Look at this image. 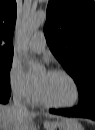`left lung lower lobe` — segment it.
Masks as SVG:
<instances>
[{"label": "left lung lower lobe", "mask_w": 95, "mask_h": 130, "mask_svg": "<svg viewBox=\"0 0 95 130\" xmlns=\"http://www.w3.org/2000/svg\"><path fill=\"white\" fill-rule=\"evenodd\" d=\"M50 112L67 117H82L95 120V85L79 96V104L76 108L65 110L52 109Z\"/></svg>", "instance_id": "0a47b994"}]
</instances>
